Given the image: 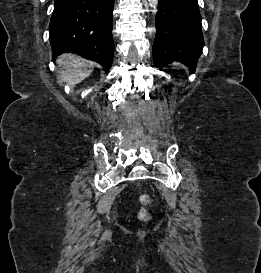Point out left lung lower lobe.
Returning <instances> with one entry per match:
<instances>
[{
    "label": "left lung lower lobe",
    "mask_w": 261,
    "mask_h": 273,
    "mask_svg": "<svg viewBox=\"0 0 261 273\" xmlns=\"http://www.w3.org/2000/svg\"><path fill=\"white\" fill-rule=\"evenodd\" d=\"M153 60L158 68L172 60L195 71L204 39L197 0H159Z\"/></svg>",
    "instance_id": "obj_1"
}]
</instances>
